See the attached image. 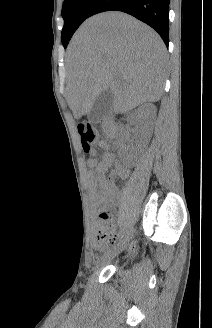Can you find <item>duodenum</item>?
I'll return each mask as SVG.
<instances>
[{"mask_svg": "<svg viewBox=\"0 0 212 328\" xmlns=\"http://www.w3.org/2000/svg\"><path fill=\"white\" fill-rule=\"evenodd\" d=\"M104 128L111 136H115L117 133V123L112 117H106L104 119Z\"/></svg>", "mask_w": 212, "mask_h": 328, "instance_id": "1", "label": "duodenum"}]
</instances>
